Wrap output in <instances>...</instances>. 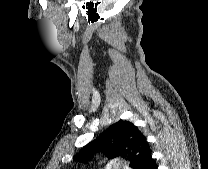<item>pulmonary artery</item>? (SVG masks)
<instances>
[{"mask_svg":"<svg viewBox=\"0 0 208 169\" xmlns=\"http://www.w3.org/2000/svg\"><path fill=\"white\" fill-rule=\"evenodd\" d=\"M114 168L119 169V168H120L119 164H116V165L114 166ZM124 169H130V168H129V167H124Z\"/></svg>","mask_w":208,"mask_h":169,"instance_id":"pulmonary-artery-1","label":"pulmonary artery"}]
</instances>
